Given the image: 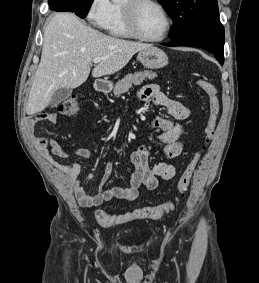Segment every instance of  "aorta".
<instances>
[{"label":"aorta","mask_w":259,"mask_h":283,"mask_svg":"<svg viewBox=\"0 0 259 283\" xmlns=\"http://www.w3.org/2000/svg\"><path fill=\"white\" fill-rule=\"evenodd\" d=\"M113 2H119L120 0H112Z\"/></svg>","instance_id":"762f6f07"}]
</instances>
